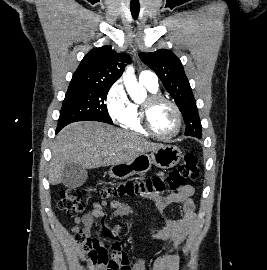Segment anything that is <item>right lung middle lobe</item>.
<instances>
[{"label":"right lung middle lobe","mask_w":267,"mask_h":270,"mask_svg":"<svg viewBox=\"0 0 267 270\" xmlns=\"http://www.w3.org/2000/svg\"><path fill=\"white\" fill-rule=\"evenodd\" d=\"M112 85L70 84L60 111L57 128L84 120L113 124L104 101Z\"/></svg>","instance_id":"obj_1"}]
</instances>
